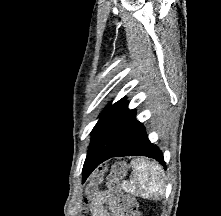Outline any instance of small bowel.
<instances>
[{
	"instance_id": "obj_1",
	"label": "small bowel",
	"mask_w": 221,
	"mask_h": 216,
	"mask_svg": "<svg viewBox=\"0 0 221 216\" xmlns=\"http://www.w3.org/2000/svg\"><path fill=\"white\" fill-rule=\"evenodd\" d=\"M105 204L108 209L105 208ZM91 210L94 216H122L117 205L106 192H100L99 200L92 204Z\"/></svg>"
}]
</instances>
